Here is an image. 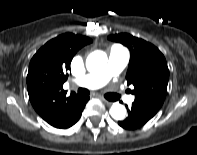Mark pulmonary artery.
Masks as SVG:
<instances>
[{
  "instance_id": "1",
  "label": "pulmonary artery",
  "mask_w": 197,
  "mask_h": 155,
  "mask_svg": "<svg viewBox=\"0 0 197 155\" xmlns=\"http://www.w3.org/2000/svg\"><path fill=\"white\" fill-rule=\"evenodd\" d=\"M129 60V53L126 48L121 45H113L111 47L106 67L97 73L87 74L76 81V85L97 89L104 86L109 80L118 75L126 66ZM127 101L132 103L134 97H128Z\"/></svg>"
}]
</instances>
